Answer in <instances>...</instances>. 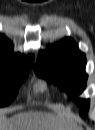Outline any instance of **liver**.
<instances>
[{
  "instance_id": "1",
  "label": "liver",
  "mask_w": 95,
  "mask_h": 130,
  "mask_svg": "<svg viewBox=\"0 0 95 130\" xmlns=\"http://www.w3.org/2000/svg\"><path fill=\"white\" fill-rule=\"evenodd\" d=\"M63 128L77 127L60 115L40 111L20 112L10 118L2 117L0 126V130H63Z\"/></svg>"
}]
</instances>
